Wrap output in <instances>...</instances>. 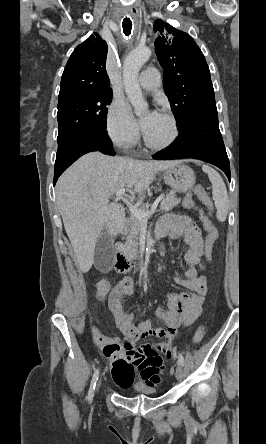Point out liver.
Wrapping results in <instances>:
<instances>
[{
	"mask_svg": "<svg viewBox=\"0 0 266 444\" xmlns=\"http://www.w3.org/2000/svg\"><path fill=\"white\" fill-rule=\"evenodd\" d=\"M178 161H141L90 152L59 178L56 200L79 268L88 272L98 240L106 232L115 237L124 228L125 210L109 203L118 190L131 194L147 189L156 173Z\"/></svg>",
	"mask_w": 266,
	"mask_h": 444,
	"instance_id": "6515ba94",
	"label": "liver"
}]
</instances>
